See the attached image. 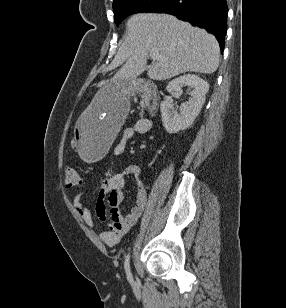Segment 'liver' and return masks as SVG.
I'll return each instance as SVG.
<instances>
[{
	"instance_id": "1",
	"label": "liver",
	"mask_w": 286,
	"mask_h": 308,
	"mask_svg": "<svg viewBox=\"0 0 286 308\" xmlns=\"http://www.w3.org/2000/svg\"><path fill=\"white\" fill-rule=\"evenodd\" d=\"M127 32L106 69L121 66L111 81H131L141 75L154 50L162 56L148 70V76L154 80H166L185 72L212 74L219 66L220 48L216 38L172 15L136 14L128 20ZM107 82L103 80L98 86Z\"/></svg>"
}]
</instances>
